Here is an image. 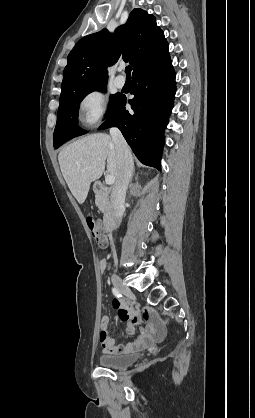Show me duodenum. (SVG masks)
Wrapping results in <instances>:
<instances>
[{
	"label": "duodenum",
	"instance_id": "410a0bca",
	"mask_svg": "<svg viewBox=\"0 0 255 418\" xmlns=\"http://www.w3.org/2000/svg\"><path fill=\"white\" fill-rule=\"evenodd\" d=\"M94 192L108 202L103 227L106 232H112L118 227L119 209L112 200L111 189L101 182H96Z\"/></svg>",
	"mask_w": 255,
	"mask_h": 418
}]
</instances>
